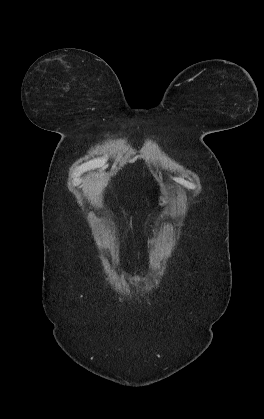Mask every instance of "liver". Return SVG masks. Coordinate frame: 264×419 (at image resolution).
<instances>
[{
	"label": "liver",
	"mask_w": 264,
	"mask_h": 419,
	"mask_svg": "<svg viewBox=\"0 0 264 419\" xmlns=\"http://www.w3.org/2000/svg\"><path fill=\"white\" fill-rule=\"evenodd\" d=\"M101 188H102L101 183L97 182V184H96V186H95V191H96L97 193H99V192H100V190H101Z\"/></svg>",
	"instance_id": "obj_1"
}]
</instances>
